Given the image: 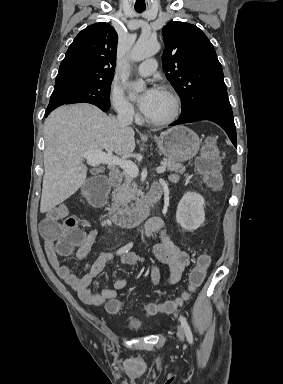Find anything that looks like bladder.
<instances>
[{
	"label": "bladder",
	"instance_id": "bladder-1",
	"mask_svg": "<svg viewBox=\"0 0 283 384\" xmlns=\"http://www.w3.org/2000/svg\"><path fill=\"white\" fill-rule=\"evenodd\" d=\"M126 326L130 327L136 331H139V330L145 328V325L143 324V322L140 321V319L137 316H132V317L128 318V320L126 322Z\"/></svg>",
	"mask_w": 283,
	"mask_h": 384
}]
</instances>
